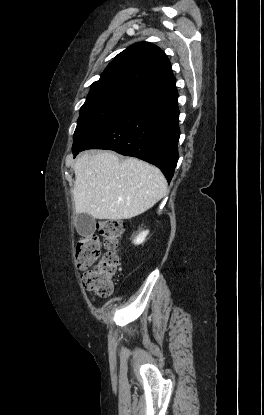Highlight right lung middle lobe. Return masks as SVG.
I'll list each match as a JSON object with an SVG mask.
<instances>
[{
    "instance_id": "obj_1",
    "label": "right lung middle lobe",
    "mask_w": 264,
    "mask_h": 415,
    "mask_svg": "<svg viewBox=\"0 0 264 415\" xmlns=\"http://www.w3.org/2000/svg\"><path fill=\"white\" fill-rule=\"evenodd\" d=\"M142 100L138 96L119 92L88 96L80 109L72 150L83 147Z\"/></svg>"
}]
</instances>
